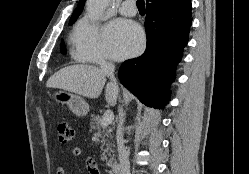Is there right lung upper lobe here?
Returning <instances> with one entry per match:
<instances>
[{"mask_svg":"<svg viewBox=\"0 0 249 174\" xmlns=\"http://www.w3.org/2000/svg\"><path fill=\"white\" fill-rule=\"evenodd\" d=\"M85 1L86 0L79 1L77 8L74 10V12L70 18V22L76 21V19L78 18V16L80 15V13L83 10V6H84ZM146 1H147V3H146L147 7H151V6H159L161 4L171 2L174 0H146Z\"/></svg>","mask_w":249,"mask_h":174,"instance_id":"obj_1","label":"right lung upper lobe"}]
</instances>
